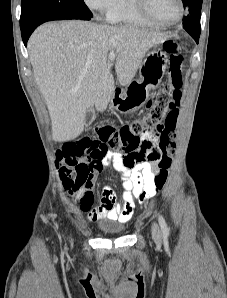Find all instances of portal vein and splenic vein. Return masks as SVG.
Listing matches in <instances>:
<instances>
[{
	"label": "portal vein and splenic vein",
	"mask_w": 227,
	"mask_h": 298,
	"mask_svg": "<svg viewBox=\"0 0 227 298\" xmlns=\"http://www.w3.org/2000/svg\"><path fill=\"white\" fill-rule=\"evenodd\" d=\"M115 58H116V54L114 52H110L108 55L109 63L112 64L114 62Z\"/></svg>",
	"instance_id": "obj_1"
}]
</instances>
